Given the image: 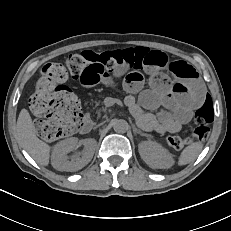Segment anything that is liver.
Listing matches in <instances>:
<instances>
[{
  "instance_id": "1",
  "label": "liver",
  "mask_w": 231,
  "mask_h": 231,
  "mask_svg": "<svg viewBox=\"0 0 231 231\" xmlns=\"http://www.w3.org/2000/svg\"><path fill=\"white\" fill-rule=\"evenodd\" d=\"M17 134L22 147L40 165L47 166L51 147L36 135L34 123L26 109H22L17 120Z\"/></svg>"
}]
</instances>
